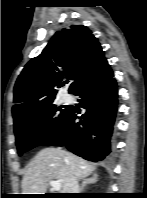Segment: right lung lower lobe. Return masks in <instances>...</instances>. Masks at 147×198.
<instances>
[{
	"label": "right lung lower lobe",
	"instance_id": "right-lung-lower-lobe-1",
	"mask_svg": "<svg viewBox=\"0 0 147 198\" xmlns=\"http://www.w3.org/2000/svg\"><path fill=\"white\" fill-rule=\"evenodd\" d=\"M81 97L80 116L71 109L60 130L42 146H66L68 150L89 161H101L110 153V139L117 112V84L110 65H103L73 93Z\"/></svg>",
	"mask_w": 147,
	"mask_h": 198
}]
</instances>
